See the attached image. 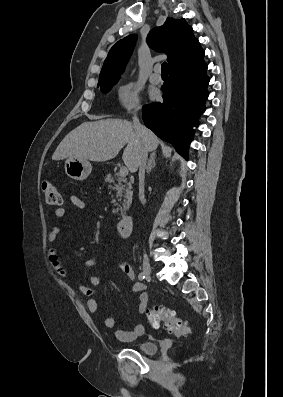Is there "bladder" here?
<instances>
[{
  "mask_svg": "<svg viewBox=\"0 0 283 397\" xmlns=\"http://www.w3.org/2000/svg\"><path fill=\"white\" fill-rule=\"evenodd\" d=\"M158 343L156 341H146L134 346L136 350L141 353L152 355L157 352L158 350Z\"/></svg>",
  "mask_w": 283,
  "mask_h": 397,
  "instance_id": "31cf9c89",
  "label": "bladder"
}]
</instances>
